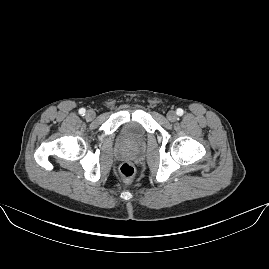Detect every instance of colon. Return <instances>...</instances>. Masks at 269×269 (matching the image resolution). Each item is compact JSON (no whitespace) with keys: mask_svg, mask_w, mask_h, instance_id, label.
<instances>
[{"mask_svg":"<svg viewBox=\"0 0 269 269\" xmlns=\"http://www.w3.org/2000/svg\"><path fill=\"white\" fill-rule=\"evenodd\" d=\"M135 173H136V168L134 164L131 162H124L119 168L120 177L124 181L131 180L135 176Z\"/></svg>","mask_w":269,"mask_h":269,"instance_id":"5ec220e1","label":"colon"}]
</instances>
